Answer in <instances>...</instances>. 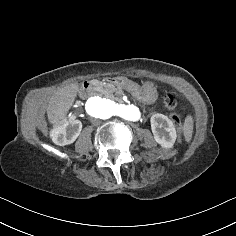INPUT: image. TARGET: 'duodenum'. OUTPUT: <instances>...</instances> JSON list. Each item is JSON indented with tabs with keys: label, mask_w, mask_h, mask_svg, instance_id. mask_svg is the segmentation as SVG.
<instances>
[{
	"label": "duodenum",
	"mask_w": 236,
	"mask_h": 236,
	"mask_svg": "<svg viewBox=\"0 0 236 236\" xmlns=\"http://www.w3.org/2000/svg\"><path fill=\"white\" fill-rule=\"evenodd\" d=\"M104 81L106 83H110V84H121L123 82V79L119 76H114V77H108L106 79H104ZM96 84L95 81H86L81 85L80 88V94L83 97H86L87 95H89V93L91 92L93 86Z\"/></svg>",
	"instance_id": "duodenum-1"
}]
</instances>
